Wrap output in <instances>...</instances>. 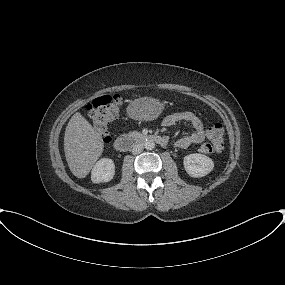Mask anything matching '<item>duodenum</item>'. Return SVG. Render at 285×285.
<instances>
[{"label":"duodenum","instance_id":"obj_1","mask_svg":"<svg viewBox=\"0 0 285 285\" xmlns=\"http://www.w3.org/2000/svg\"><path fill=\"white\" fill-rule=\"evenodd\" d=\"M154 141L161 146L168 144V139L160 135H136V136H120L114 141V149L124 152L131 149L137 142Z\"/></svg>","mask_w":285,"mask_h":285}]
</instances>
